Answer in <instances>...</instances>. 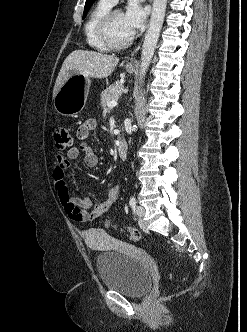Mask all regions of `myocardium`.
Returning <instances> with one entry per match:
<instances>
[{
  "instance_id": "obj_1",
  "label": "myocardium",
  "mask_w": 247,
  "mask_h": 332,
  "mask_svg": "<svg viewBox=\"0 0 247 332\" xmlns=\"http://www.w3.org/2000/svg\"><path fill=\"white\" fill-rule=\"evenodd\" d=\"M120 11L118 9H110L100 20L97 33L100 40L106 45L109 49L119 50L130 45L134 39V33H132L124 41L116 42L111 36V21L115 12Z\"/></svg>"
}]
</instances>
